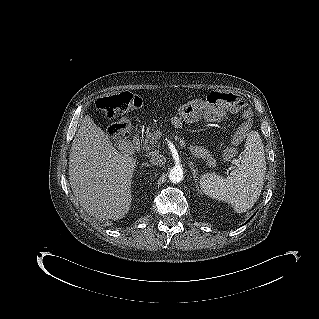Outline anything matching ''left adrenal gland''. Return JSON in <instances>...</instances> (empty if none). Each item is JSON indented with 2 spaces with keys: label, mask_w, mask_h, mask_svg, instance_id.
<instances>
[{
  "label": "left adrenal gland",
  "mask_w": 319,
  "mask_h": 319,
  "mask_svg": "<svg viewBox=\"0 0 319 319\" xmlns=\"http://www.w3.org/2000/svg\"><path fill=\"white\" fill-rule=\"evenodd\" d=\"M188 165H189L191 171L193 172L194 177H196V175H197V169L194 168V165H193L192 163H189Z\"/></svg>",
  "instance_id": "obj_1"
}]
</instances>
